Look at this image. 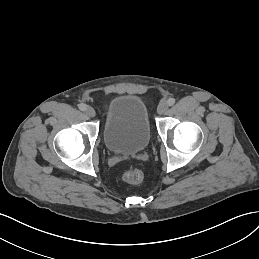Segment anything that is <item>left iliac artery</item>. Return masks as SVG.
<instances>
[{
    "label": "left iliac artery",
    "instance_id": "obj_1",
    "mask_svg": "<svg viewBox=\"0 0 259 259\" xmlns=\"http://www.w3.org/2000/svg\"><path fill=\"white\" fill-rule=\"evenodd\" d=\"M167 104H168V106H173L175 104V99L174 98H169L167 100Z\"/></svg>",
    "mask_w": 259,
    "mask_h": 259
}]
</instances>
